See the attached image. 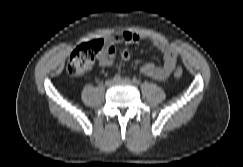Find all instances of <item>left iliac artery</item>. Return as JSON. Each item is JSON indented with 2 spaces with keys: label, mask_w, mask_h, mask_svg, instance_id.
<instances>
[{
  "label": "left iliac artery",
  "mask_w": 243,
  "mask_h": 167,
  "mask_svg": "<svg viewBox=\"0 0 243 167\" xmlns=\"http://www.w3.org/2000/svg\"><path fill=\"white\" fill-rule=\"evenodd\" d=\"M133 83L134 84H139V80L137 78H133Z\"/></svg>",
  "instance_id": "1"
}]
</instances>
